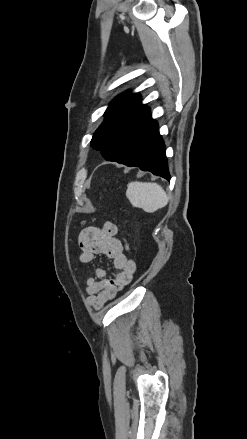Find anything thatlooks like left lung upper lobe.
Returning <instances> with one entry per match:
<instances>
[{"instance_id":"obj_1","label":"left lung upper lobe","mask_w":247,"mask_h":439,"mask_svg":"<svg viewBox=\"0 0 247 439\" xmlns=\"http://www.w3.org/2000/svg\"><path fill=\"white\" fill-rule=\"evenodd\" d=\"M136 95L120 94L105 111V120L96 130L91 146L108 161L122 163L136 136L150 121L148 107Z\"/></svg>"}]
</instances>
